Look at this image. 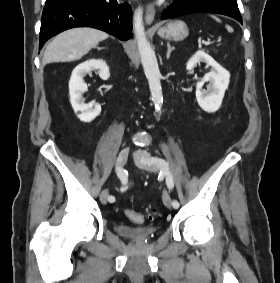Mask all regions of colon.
<instances>
[{
    "label": "colon",
    "instance_id": "1",
    "mask_svg": "<svg viewBox=\"0 0 280 283\" xmlns=\"http://www.w3.org/2000/svg\"><path fill=\"white\" fill-rule=\"evenodd\" d=\"M125 214L128 217V219L131 220L132 222L142 223L144 221V216L141 213L136 212L134 210L127 209L125 211ZM148 218L152 219V213L148 214Z\"/></svg>",
    "mask_w": 280,
    "mask_h": 283
}]
</instances>
